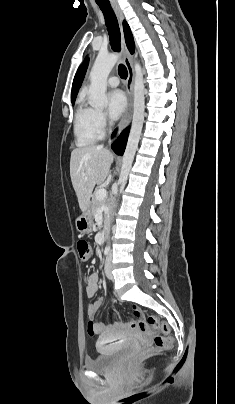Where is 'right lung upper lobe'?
<instances>
[{
	"label": "right lung upper lobe",
	"instance_id": "cb5924a9",
	"mask_svg": "<svg viewBox=\"0 0 235 404\" xmlns=\"http://www.w3.org/2000/svg\"><path fill=\"white\" fill-rule=\"evenodd\" d=\"M123 29H124V35H125V41H126V45L129 49V51L131 52V54L134 53L135 51V46H134V40H133V36L131 33V30L128 26V24L126 23V21L123 22ZM88 66V60L79 67L77 74L74 78L73 81V86H72V94H71V101L74 102L76 99V96L78 94L79 88L81 86V83L84 79L85 73H86V69Z\"/></svg>",
	"mask_w": 235,
	"mask_h": 404
}]
</instances>
